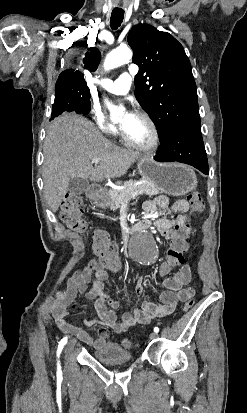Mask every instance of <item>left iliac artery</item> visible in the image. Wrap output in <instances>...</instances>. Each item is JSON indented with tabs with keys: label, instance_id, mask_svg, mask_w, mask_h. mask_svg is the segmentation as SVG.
Returning a JSON list of instances; mask_svg holds the SVG:
<instances>
[{
	"label": "left iliac artery",
	"instance_id": "1",
	"mask_svg": "<svg viewBox=\"0 0 247 413\" xmlns=\"http://www.w3.org/2000/svg\"><path fill=\"white\" fill-rule=\"evenodd\" d=\"M154 332H155V333H158V332H159V328H158V327H155V328H154Z\"/></svg>",
	"mask_w": 247,
	"mask_h": 413
}]
</instances>
